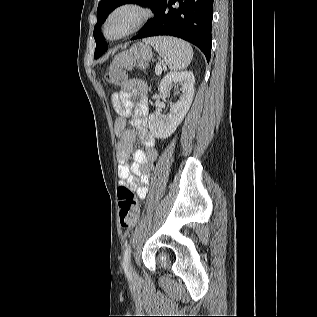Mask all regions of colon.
<instances>
[{"label":"colon","instance_id":"obj_1","mask_svg":"<svg viewBox=\"0 0 317 317\" xmlns=\"http://www.w3.org/2000/svg\"><path fill=\"white\" fill-rule=\"evenodd\" d=\"M129 66L126 55L117 56L109 67L107 80L114 85L123 84L126 81L124 69ZM119 221L122 227H132L137 223L140 207L133 191L128 186H120L117 191Z\"/></svg>","mask_w":317,"mask_h":317}]
</instances>
